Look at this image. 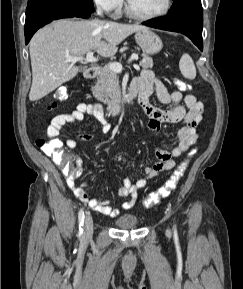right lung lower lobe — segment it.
Here are the masks:
<instances>
[{"label": "right lung lower lobe", "mask_w": 243, "mask_h": 289, "mask_svg": "<svg viewBox=\"0 0 243 289\" xmlns=\"http://www.w3.org/2000/svg\"><path fill=\"white\" fill-rule=\"evenodd\" d=\"M94 12L92 0H29L26 10L25 41L42 26L61 18H89Z\"/></svg>", "instance_id": "right-lung-lower-lobe-1"}]
</instances>
